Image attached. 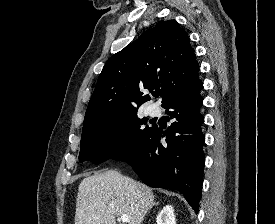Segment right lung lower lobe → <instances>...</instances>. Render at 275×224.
<instances>
[{"label":"right lung lower lobe","mask_w":275,"mask_h":224,"mask_svg":"<svg viewBox=\"0 0 275 224\" xmlns=\"http://www.w3.org/2000/svg\"><path fill=\"white\" fill-rule=\"evenodd\" d=\"M202 88L196 76L162 105L172 121L167 130L152 126L136 144L112 158L131 165L148 186L180 191L195 212L201 199L205 162L201 131L204 117L200 114L203 98L199 94ZM161 137L166 142L160 143Z\"/></svg>","instance_id":"obj_1"}]
</instances>
